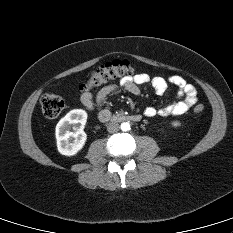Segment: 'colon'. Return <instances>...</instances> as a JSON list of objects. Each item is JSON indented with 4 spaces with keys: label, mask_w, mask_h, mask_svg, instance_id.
I'll return each instance as SVG.
<instances>
[{
    "label": "colon",
    "mask_w": 233,
    "mask_h": 233,
    "mask_svg": "<svg viewBox=\"0 0 233 233\" xmlns=\"http://www.w3.org/2000/svg\"><path fill=\"white\" fill-rule=\"evenodd\" d=\"M134 69L126 60H115L101 66L95 70L90 78L81 86L83 92L108 83L109 81L120 79L132 75ZM40 105L43 115L46 118L54 119L58 117L64 109V101L58 95L45 93L40 99ZM204 110L203 104H197L193 111L196 114Z\"/></svg>",
    "instance_id": "obj_1"
}]
</instances>
